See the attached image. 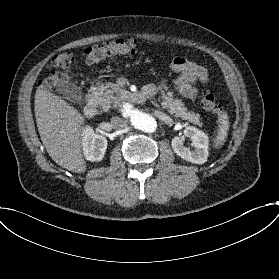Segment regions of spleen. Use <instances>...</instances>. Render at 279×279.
<instances>
[{"mask_svg": "<svg viewBox=\"0 0 279 279\" xmlns=\"http://www.w3.org/2000/svg\"><path fill=\"white\" fill-rule=\"evenodd\" d=\"M218 132L216 138L213 140L214 142V148L218 149L220 148L227 137V132L229 130V120L227 113H223L218 117Z\"/></svg>", "mask_w": 279, "mask_h": 279, "instance_id": "obj_1", "label": "spleen"}]
</instances>
